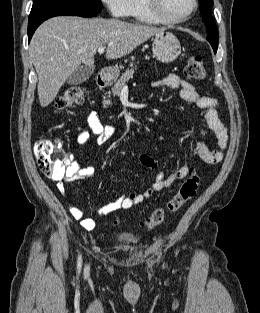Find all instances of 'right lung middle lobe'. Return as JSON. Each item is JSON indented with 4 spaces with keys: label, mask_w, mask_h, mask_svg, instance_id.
<instances>
[{
    "label": "right lung middle lobe",
    "mask_w": 260,
    "mask_h": 313,
    "mask_svg": "<svg viewBox=\"0 0 260 313\" xmlns=\"http://www.w3.org/2000/svg\"><path fill=\"white\" fill-rule=\"evenodd\" d=\"M102 8L101 0H33L31 11L61 9L98 13Z\"/></svg>",
    "instance_id": "dd1d6c3e"
}]
</instances>
